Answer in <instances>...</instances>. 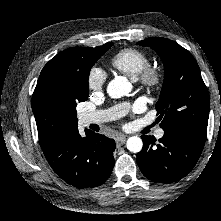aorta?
Segmentation results:
<instances>
[{"label":"aorta","mask_w":221,"mask_h":221,"mask_svg":"<svg viewBox=\"0 0 221 221\" xmlns=\"http://www.w3.org/2000/svg\"><path fill=\"white\" fill-rule=\"evenodd\" d=\"M132 90V84L126 77L117 76L107 86V93L111 98H121ZM130 152L138 153L142 150L143 142L138 136L129 137L126 143Z\"/></svg>","instance_id":"762f6f07"}]
</instances>
